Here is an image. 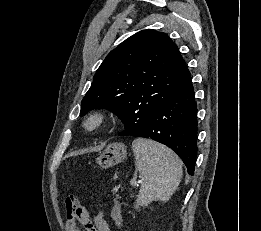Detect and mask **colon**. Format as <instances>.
<instances>
[{"mask_svg":"<svg viewBox=\"0 0 261 231\" xmlns=\"http://www.w3.org/2000/svg\"><path fill=\"white\" fill-rule=\"evenodd\" d=\"M65 215L66 220L71 222H77L83 226L86 231H95L94 225L91 219L87 216L86 210L80 204L78 199L71 195L66 198L65 201ZM113 220L115 223H119L120 215L118 206L113 212Z\"/></svg>","mask_w":261,"mask_h":231,"instance_id":"colon-1","label":"colon"}]
</instances>
